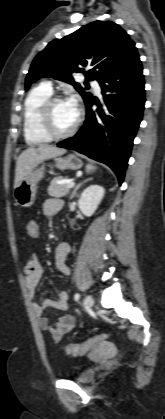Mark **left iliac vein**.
Returning <instances> with one entry per match:
<instances>
[{
    "mask_svg": "<svg viewBox=\"0 0 165 419\" xmlns=\"http://www.w3.org/2000/svg\"><path fill=\"white\" fill-rule=\"evenodd\" d=\"M93 304H94L93 298L90 295H87L85 297V308H86V310L90 311L93 307Z\"/></svg>",
    "mask_w": 165,
    "mask_h": 419,
    "instance_id": "4c4485c4",
    "label": "left iliac vein"
}]
</instances>
